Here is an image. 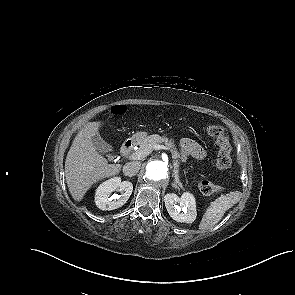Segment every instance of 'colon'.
I'll list each match as a JSON object with an SVG mask.
<instances>
[{
	"instance_id": "obj_1",
	"label": "colon",
	"mask_w": 295,
	"mask_h": 295,
	"mask_svg": "<svg viewBox=\"0 0 295 295\" xmlns=\"http://www.w3.org/2000/svg\"><path fill=\"white\" fill-rule=\"evenodd\" d=\"M127 111V108L123 105L114 106L111 109V113L114 115H122ZM208 134L214 139L218 146V154L216 159V165L219 169H228L231 165V145L226 137L223 129L218 125H210L207 128ZM200 191L205 195H212L219 192L221 186L214 184L208 180H202L199 185Z\"/></svg>"
}]
</instances>
